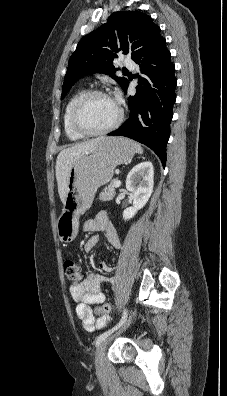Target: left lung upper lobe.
<instances>
[{
	"instance_id": "left-lung-upper-lobe-1",
	"label": "left lung upper lobe",
	"mask_w": 227,
	"mask_h": 396,
	"mask_svg": "<svg viewBox=\"0 0 227 396\" xmlns=\"http://www.w3.org/2000/svg\"><path fill=\"white\" fill-rule=\"evenodd\" d=\"M161 37L160 28L153 19L140 11H119L111 14L107 23L78 43L69 60L61 99L78 79L90 73L110 75L124 88L128 80L114 75L117 68L112 62L117 53H131L135 60Z\"/></svg>"
}]
</instances>
